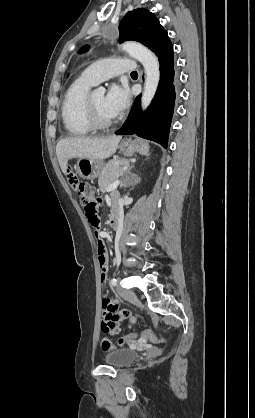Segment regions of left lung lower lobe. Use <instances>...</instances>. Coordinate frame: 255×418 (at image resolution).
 I'll list each match as a JSON object with an SVG mask.
<instances>
[{
	"mask_svg": "<svg viewBox=\"0 0 255 418\" xmlns=\"http://www.w3.org/2000/svg\"><path fill=\"white\" fill-rule=\"evenodd\" d=\"M155 54L160 63V81L152 103L142 114L140 96L136 97L128 119L115 134H136L166 148L174 108L176 81L174 51L170 39Z\"/></svg>",
	"mask_w": 255,
	"mask_h": 418,
	"instance_id": "left-lung-lower-lobe-1",
	"label": "left lung lower lobe"
}]
</instances>
